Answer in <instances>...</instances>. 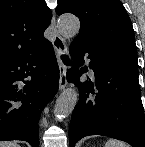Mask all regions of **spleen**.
Returning a JSON list of instances; mask_svg holds the SVG:
<instances>
[{
	"instance_id": "3e777b00",
	"label": "spleen",
	"mask_w": 145,
	"mask_h": 147,
	"mask_svg": "<svg viewBox=\"0 0 145 147\" xmlns=\"http://www.w3.org/2000/svg\"><path fill=\"white\" fill-rule=\"evenodd\" d=\"M105 147H127L123 142L117 140H108Z\"/></svg>"
}]
</instances>
